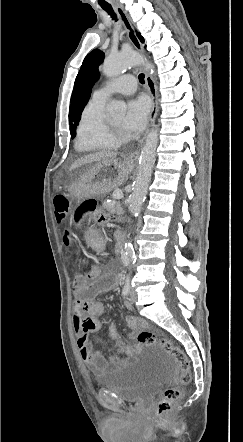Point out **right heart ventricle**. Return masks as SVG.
I'll list each match as a JSON object with an SVG mask.
<instances>
[{
  "instance_id": "e07e8e85",
  "label": "right heart ventricle",
  "mask_w": 243,
  "mask_h": 442,
  "mask_svg": "<svg viewBox=\"0 0 243 442\" xmlns=\"http://www.w3.org/2000/svg\"><path fill=\"white\" fill-rule=\"evenodd\" d=\"M105 101L92 98L84 107L77 126L75 148L79 152L112 149L117 143L110 141L104 130Z\"/></svg>"
}]
</instances>
